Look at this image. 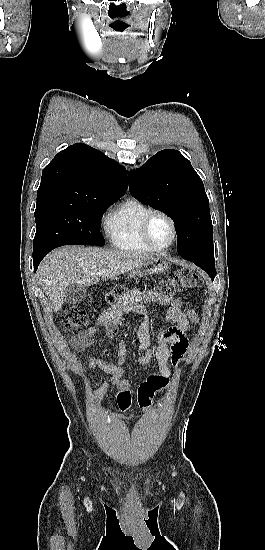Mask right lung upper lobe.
Here are the masks:
<instances>
[{"mask_svg":"<svg viewBox=\"0 0 265 550\" xmlns=\"http://www.w3.org/2000/svg\"><path fill=\"white\" fill-rule=\"evenodd\" d=\"M128 188L126 169L101 151L76 143L43 169L37 198H120Z\"/></svg>","mask_w":265,"mask_h":550,"instance_id":"obj_1","label":"right lung upper lobe"}]
</instances>
